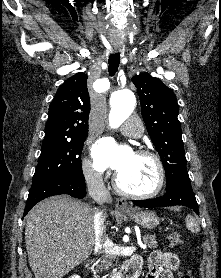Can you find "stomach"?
Here are the masks:
<instances>
[{"label":"stomach","mask_w":221,"mask_h":278,"mask_svg":"<svg viewBox=\"0 0 221 278\" xmlns=\"http://www.w3.org/2000/svg\"><path fill=\"white\" fill-rule=\"evenodd\" d=\"M124 214L147 229H153L159 224V217L153 211L130 210L125 211Z\"/></svg>","instance_id":"0dacf381"}]
</instances>
